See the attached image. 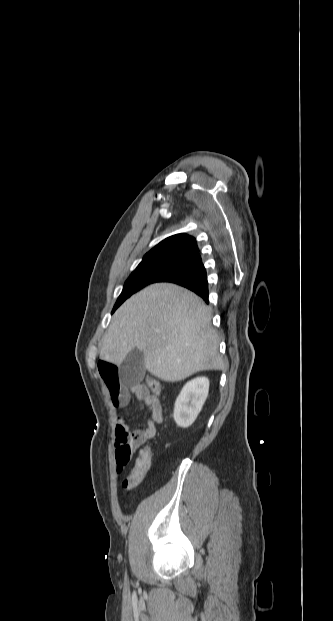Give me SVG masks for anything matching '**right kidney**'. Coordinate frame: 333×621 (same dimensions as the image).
<instances>
[{
	"label": "right kidney",
	"mask_w": 333,
	"mask_h": 621,
	"mask_svg": "<svg viewBox=\"0 0 333 621\" xmlns=\"http://www.w3.org/2000/svg\"><path fill=\"white\" fill-rule=\"evenodd\" d=\"M209 380L197 377L182 388L176 399L173 417L179 427H189L197 418L208 396Z\"/></svg>",
	"instance_id": "obj_1"
}]
</instances>
